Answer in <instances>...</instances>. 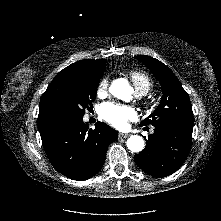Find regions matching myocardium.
<instances>
[{"label":"myocardium","mask_w":221,"mask_h":221,"mask_svg":"<svg viewBox=\"0 0 221 221\" xmlns=\"http://www.w3.org/2000/svg\"><path fill=\"white\" fill-rule=\"evenodd\" d=\"M154 102V99L152 97H149L145 100V104L151 105Z\"/></svg>","instance_id":"obj_1"}]
</instances>
